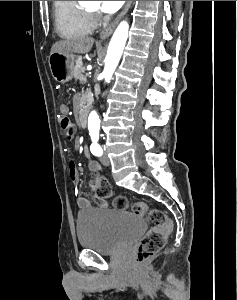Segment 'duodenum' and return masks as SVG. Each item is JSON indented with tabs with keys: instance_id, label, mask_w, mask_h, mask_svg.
<instances>
[{
	"instance_id": "obj_1",
	"label": "duodenum",
	"mask_w": 237,
	"mask_h": 300,
	"mask_svg": "<svg viewBox=\"0 0 237 300\" xmlns=\"http://www.w3.org/2000/svg\"><path fill=\"white\" fill-rule=\"evenodd\" d=\"M79 122L82 128L87 126V115L84 109H81L79 112Z\"/></svg>"
}]
</instances>
